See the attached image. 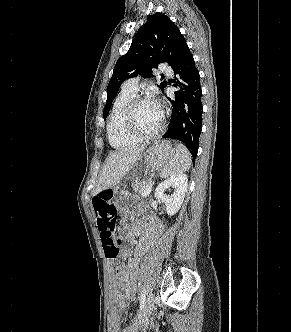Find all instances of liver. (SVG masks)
I'll use <instances>...</instances> for the list:
<instances>
[{
  "label": "liver",
  "mask_w": 291,
  "mask_h": 332,
  "mask_svg": "<svg viewBox=\"0 0 291 332\" xmlns=\"http://www.w3.org/2000/svg\"><path fill=\"white\" fill-rule=\"evenodd\" d=\"M144 149L145 146L142 145L123 148L111 153L107 157L99 175L94 195H97L106 189L115 188L122 178L133 169Z\"/></svg>",
  "instance_id": "liver-1"
}]
</instances>
